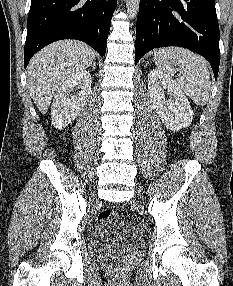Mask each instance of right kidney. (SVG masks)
Listing matches in <instances>:
<instances>
[{
  "label": "right kidney",
  "instance_id": "obj_1",
  "mask_svg": "<svg viewBox=\"0 0 233 286\" xmlns=\"http://www.w3.org/2000/svg\"><path fill=\"white\" fill-rule=\"evenodd\" d=\"M91 75L83 70L68 78L58 89L51 107L52 124L63 129L82 110L91 93Z\"/></svg>",
  "mask_w": 233,
  "mask_h": 286
}]
</instances>
